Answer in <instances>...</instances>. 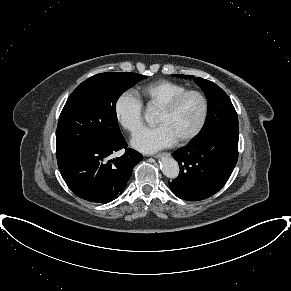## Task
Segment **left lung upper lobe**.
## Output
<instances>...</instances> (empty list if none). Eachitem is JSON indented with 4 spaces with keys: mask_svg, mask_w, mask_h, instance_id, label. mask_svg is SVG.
I'll return each mask as SVG.
<instances>
[{
    "mask_svg": "<svg viewBox=\"0 0 291 291\" xmlns=\"http://www.w3.org/2000/svg\"><path fill=\"white\" fill-rule=\"evenodd\" d=\"M174 76L185 79L194 78V76L190 75ZM194 81L202 88L208 99V115L202 130L191 141L201 140L218 131H239L237 113L227 94L218 85L209 80L195 78Z\"/></svg>",
    "mask_w": 291,
    "mask_h": 291,
    "instance_id": "1",
    "label": "left lung upper lobe"
}]
</instances>
